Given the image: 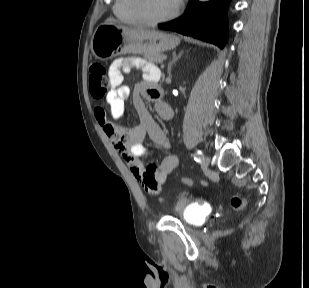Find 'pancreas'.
Segmentation results:
<instances>
[{
	"mask_svg": "<svg viewBox=\"0 0 309 288\" xmlns=\"http://www.w3.org/2000/svg\"><path fill=\"white\" fill-rule=\"evenodd\" d=\"M146 58L148 59L150 63L158 64V63L163 62V60L165 59V55L161 53L150 54V55H147Z\"/></svg>",
	"mask_w": 309,
	"mask_h": 288,
	"instance_id": "cf45deb5",
	"label": "pancreas"
}]
</instances>
